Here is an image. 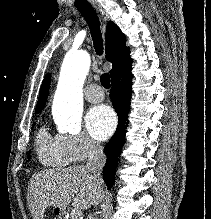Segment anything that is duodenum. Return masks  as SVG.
<instances>
[{
  "label": "duodenum",
  "mask_w": 211,
  "mask_h": 219,
  "mask_svg": "<svg viewBox=\"0 0 211 219\" xmlns=\"http://www.w3.org/2000/svg\"><path fill=\"white\" fill-rule=\"evenodd\" d=\"M58 214H59L60 216H62V217L65 216V212H64L63 210H58Z\"/></svg>",
  "instance_id": "obj_1"
}]
</instances>
